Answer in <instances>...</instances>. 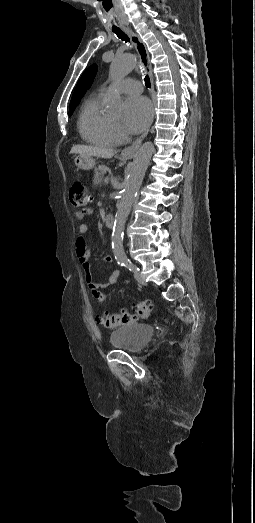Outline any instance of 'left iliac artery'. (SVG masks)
<instances>
[{
  "label": "left iliac artery",
  "mask_w": 255,
  "mask_h": 523,
  "mask_svg": "<svg viewBox=\"0 0 255 523\" xmlns=\"http://www.w3.org/2000/svg\"><path fill=\"white\" fill-rule=\"evenodd\" d=\"M124 266L127 267L130 271L139 270L129 259L124 260Z\"/></svg>",
  "instance_id": "left-iliac-artery-1"
}]
</instances>
